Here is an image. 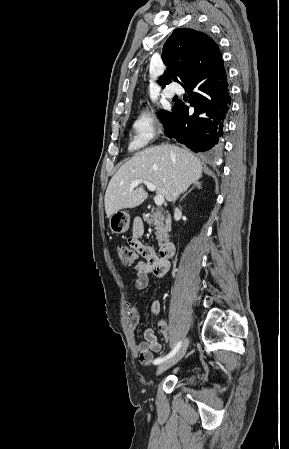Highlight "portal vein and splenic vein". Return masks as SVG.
I'll list each match as a JSON object with an SVG mask.
<instances>
[{
    "instance_id": "18ae733b",
    "label": "portal vein and splenic vein",
    "mask_w": 289,
    "mask_h": 449,
    "mask_svg": "<svg viewBox=\"0 0 289 449\" xmlns=\"http://www.w3.org/2000/svg\"><path fill=\"white\" fill-rule=\"evenodd\" d=\"M141 183H144L150 191L156 190V186L153 183H151L150 181L142 180V179L133 181L130 184L131 190H133L135 187H137ZM154 201L157 206H161L164 203V196L162 194H157L154 198Z\"/></svg>"
}]
</instances>
